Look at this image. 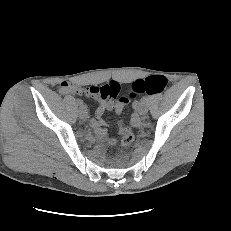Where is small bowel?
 <instances>
[{
	"instance_id": "1",
	"label": "small bowel",
	"mask_w": 231,
	"mask_h": 231,
	"mask_svg": "<svg viewBox=\"0 0 231 231\" xmlns=\"http://www.w3.org/2000/svg\"><path fill=\"white\" fill-rule=\"evenodd\" d=\"M104 86L91 85L86 87H79L70 82H62L60 89L61 92L64 94L86 93L87 95L92 96L99 101V106L95 111L94 117L91 119V126L95 134L101 141L106 142L108 144H114L115 140L107 136V130L105 128L103 115L106 111L110 110H114L118 114L121 113L129 103V99L127 97H121L119 99L104 97ZM137 120L138 115L134 114L133 121L137 122ZM120 132H122V129L120 130Z\"/></svg>"
}]
</instances>
